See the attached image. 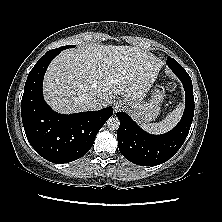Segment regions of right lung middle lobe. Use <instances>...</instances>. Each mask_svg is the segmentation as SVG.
<instances>
[{
  "label": "right lung middle lobe",
  "instance_id": "obj_1",
  "mask_svg": "<svg viewBox=\"0 0 222 222\" xmlns=\"http://www.w3.org/2000/svg\"><path fill=\"white\" fill-rule=\"evenodd\" d=\"M73 47H75V46H74V45H66V46H62V47L53 49V51H59V52H61V51L64 50V49L73 48Z\"/></svg>",
  "mask_w": 222,
  "mask_h": 222
}]
</instances>
